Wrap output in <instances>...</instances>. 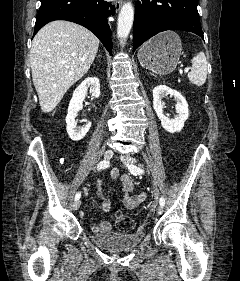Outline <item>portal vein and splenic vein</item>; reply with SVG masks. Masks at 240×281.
I'll list each match as a JSON object with an SVG mask.
<instances>
[{
	"label": "portal vein and splenic vein",
	"instance_id": "portal-vein-and-splenic-vein-1",
	"mask_svg": "<svg viewBox=\"0 0 240 281\" xmlns=\"http://www.w3.org/2000/svg\"><path fill=\"white\" fill-rule=\"evenodd\" d=\"M180 74L182 75L183 73L184 74H187L188 73V69H185L184 71L183 70H179Z\"/></svg>",
	"mask_w": 240,
	"mask_h": 281
}]
</instances>
